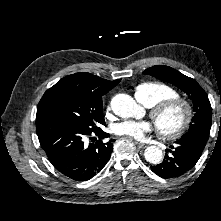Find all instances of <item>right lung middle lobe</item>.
<instances>
[{
	"mask_svg": "<svg viewBox=\"0 0 221 221\" xmlns=\"http://www.w3.org/2000/svg\"><path fill=\"white\" fill-rule=\"evenodd\" d=\"M37 114H46L92 133L102 130V98L77 91H61L42 98Z\"/></svg>",
	"mask_w": 221,
	"mask_h": 221,
	"instance_id": "obj_1",
	"label": "right lung middle lobe"
}]
</instances>
